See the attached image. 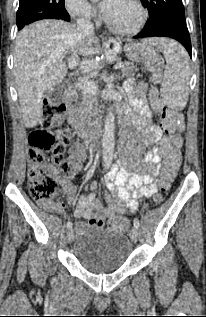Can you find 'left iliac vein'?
I'll return each instance as SVG.
<instances>
[{
    "instance_id": "1",
    "label": "left iliac vein",
    "mask_w": 206,
    "mask_h": 317,
    "mask_svg": "<svg viewBox=\"0 0 206 317\" xmlns=\"http://www.w3.org/2000/svg\"><path fill=\"white\" fill-rule=\"evenodd\" d=\"M130 238L134 243H136L138 241V229L137 228L134 227L131 229Z\"/></svg>"
}]
</instances>
